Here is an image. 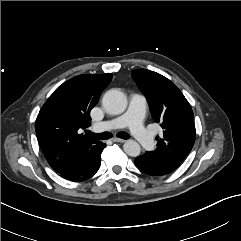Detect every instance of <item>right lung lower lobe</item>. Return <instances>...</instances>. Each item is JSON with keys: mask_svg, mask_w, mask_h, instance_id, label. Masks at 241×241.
I'll return each mask as SVG.
<instances>
[{"mask_svg": "<svg viewBox=\"0 0 241 241\" xmlns=\"http://www.w3.org/2000/svg\"><path fill=\"white\" fill-rule=\"evenodd\" d=\"M105 144L101 143L97 148L86 155L78 156L62 171L58 172L60 176L71 181H83L92 177L100 167V157Z\"/></svg>", "mask_w": 241, "mask_h": 241, "instance_id": "1", "label": "right lung lower lobe"}]
</instances>
